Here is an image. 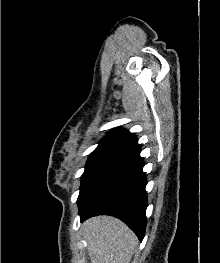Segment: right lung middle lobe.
Here are the masks:
<instances>
[{"mask_svg": "<svg viewBox=\"0 0 220 263\" xmlns=\"http://www.w3.org/2000/svg\"><path fill=\"white\" fill-rule=\"evenodd\" d=\"M116 154L109 152H93L90 154L85 171L82 175L80 194L78 199L85 192L91 181L96 177L101 168Z\"/></svg>", "mask_w": 220, "mask_h": 263, "instance_id": "1", "label": "right lung middle lobe"}]
</instances>
